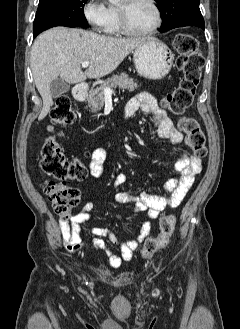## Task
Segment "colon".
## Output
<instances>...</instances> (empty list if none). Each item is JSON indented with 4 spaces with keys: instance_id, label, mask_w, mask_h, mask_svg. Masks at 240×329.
Wrapping results in <instances>:
<instances>
[{
    "instance_id": "obj_1",
    "label": "colon",
    "mask_w": 240,
    "mask_h": 329,
    "mask_svg": "<svg viewBox=\"0 0 240 329\" xmlns=\"http://www.w3.org/2000/svg\"><path fill=\"white\" fill-rule=\"evenodd\" d=\"M174 47L178 53L176 65L182 73L179 84L163 99V105L172 113L182 115L193 103L201 79L204 55L199 50L198 41L190 34L180 33L174 38ZM52 121L68 126L75 120L70 98L60 96L51 112ZM179 129L185 135V143L194 155L202 158L206 155L205 136L198 121L191 117H181ZM40 167L52 181L45 184V193L54 212L66 219L80 199L79 191L66 185L68 180H83L87 176L84 163L78 159H68L52 137L46 139L40 149ZM176 225V216L166 215L160 220V232L148 238L141 251L144 259L152 257L165 248L170 241Z\"/></svg>"
}]
</instances>
